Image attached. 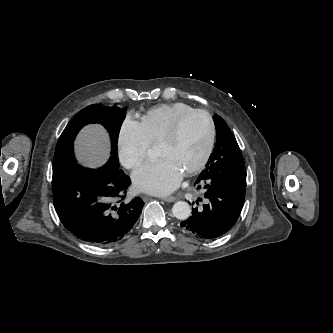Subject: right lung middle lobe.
I'll use <instances>...</instances> for the list:
<instances>
[{"label": "right lung middle lobe", "instance_id": "dd1d6c3e", "mask_svg": "<svg viewBox=\"0 0 333 333\" xmlns=\"http://www.w3.org/2000/svg\"><path fill=\"white\" fill-rule=\"evenodd\" d=\"M125 116V109L121 110L116 106L109 107L102 104L90 105L81 110L68 123L58 139L53 160V171L56 168L76 162L73 155L75 136L81 128L90 123H99L107 129L111 138V156L118 158V134Z\"/></svg>", "mask_w": 333, "mask_h": 333}]
</instances>
